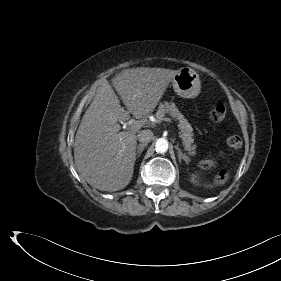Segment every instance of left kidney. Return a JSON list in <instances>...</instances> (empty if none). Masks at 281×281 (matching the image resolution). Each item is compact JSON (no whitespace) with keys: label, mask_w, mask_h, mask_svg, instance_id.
Here are the masks:
<instances>
[{"label":"left kidney","mask_w":281,"mask_h":281,"mask_svg":"<svg viewBox=\"0 0 281 281\" xmlns=\"http://www.w3.org/2000/svg\"><path fill=\"white\" fill-rule=\"evenodd\" d=\"M192 181L195 182V181H194V177L192 178Z\"/></svg>","instance_id":"left-kidney-1"}]
</instances>
